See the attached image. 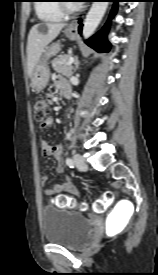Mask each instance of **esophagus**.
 I'll use <instances>...</instances> for the list:
<instances>
[{"label":"esophagus","mask_w":158,"mask_h":275,"mask_svg":"<svg viewBox=\"0 0 158 275\" xmlns=\"http://www.w3.org/2000/svg\"><path fill=\"white\" fill-rule=\"evenodd\" d=\"M68 28L72 31L78 30V19L73 20L69 25Z\"/></svg>","instance_id":"34e87169"}]
</instances>
